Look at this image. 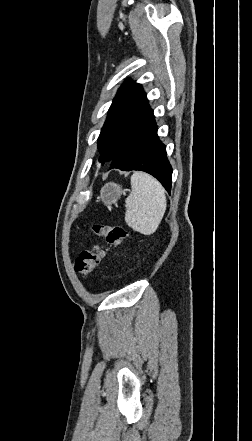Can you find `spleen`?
<instances>
[{
  "mask_svg": "<svg viewBox=\"0 0 252 441\" xmlns=\"http://www.w3.org/2000/svg\"><path fill=\"white\" fill-rule=\"evenodd\" d=\"M131 189L125 200V221L141 234H153L166 210L164 188L151 175L135 172L131 176Z\"/></svg>",
  "mask_w": 252,
  "mask_h": 441,
  "instance_id": "obj_1",
  "label": "spleen"
}]
</instances>
